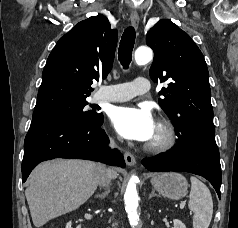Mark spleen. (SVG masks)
Returning a JSON list of instances; mask_svg holds the SVG:
<instances>
[{
    "label": "spleen",
    "instance_id": "1",
    "mask_svg": "<svg viewBox=\"0 0 238 228\" xmlns=\"http://www.w3.org/2000/svg\"><path fill=\"white\" fill-rule=\"evenodd\" d=\"M188 207L194 213L193 228H208L213 214V201L208 187L192 176Z\"/></svg>",
    "mask_w": 238,
    "mask_h": 228
}]
</instances>
